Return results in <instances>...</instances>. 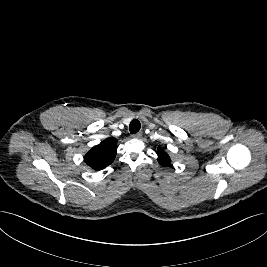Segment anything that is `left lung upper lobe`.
<instances>
[{
	"instance_id": "left-lung-upper-lobe-1",
	"label": "left lung upper lobe",
	"mask_w": 267,
	"mask_h": 267,
	"mask_svg": "<svg viewBox=\"0 0 267 267\" xmlns=\"http://www.w3.org/2000/svg\"><path fill=\"white\" fill-rule=\"evenodd\" d=\"M158 162L162 165V166H169L170 165V157L169 155L163 151L162 149L158 150Z\"/></svg>"
}]
</instances>
